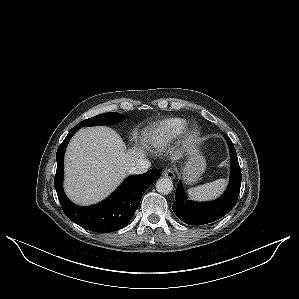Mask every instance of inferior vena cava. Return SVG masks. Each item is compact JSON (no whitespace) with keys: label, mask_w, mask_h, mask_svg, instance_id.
Listing matches in <instances>:
<instances>
[{"label":"inferior vena cava","mask_w":299,"mask_h":299,"mask_svg":"<svg viewBox=\"0 0 299 299\" xmlns=\"http://www.w3.org/2000/svg\"><path fill=\"white\" fill-rule=\"evenodd\" d=\"M150 166H151V163L148 160H143V161L139 162L137 165L131 167L129 169V173L135 174V175L143 174L148 171Z\"/></svg>","instance_id":"inferior-vena-cava-1"}]
</instances>
